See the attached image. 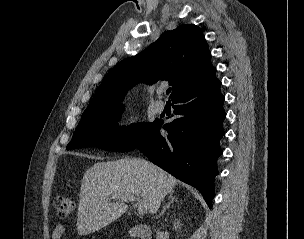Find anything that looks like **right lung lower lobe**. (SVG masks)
<instances>
[{"label": "right lung lower lobe", "mask_w": 304, "mask_h": 239, "mask_svg": "<svg viewBox=\"0 0 304 239\" xmlns=\"http://www.w3.org/2000/svg\"><path fill=\"white\" fill-rule=\"evenodd\" d=\"M216 69L172 98L174 121L165 124L168 135L159 132L163 121L137 148L149 160L179 180L196 187L211 208L215 196L217 159L224 136V96ZM175 104V105H174Z\"/></svg>", "instance_id": "98d812e1"}]
</instances>
